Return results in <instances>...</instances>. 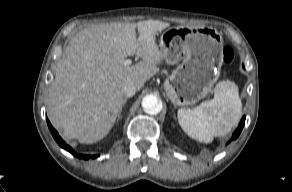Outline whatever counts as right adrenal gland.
<instances>
[{
    "label": "right adrenal gland",
    "mask_w": 292,
    "mask_h": 192,
    "mask_svg": "<svg viewBox=\"0 0 292 192\" xmlns=\"http://www.w3.org/2000/svg\"><path fill=\"white\" fill-rule=\"evenodd\" d=\"M127 102V99L124 100V103H123V106L125 105V103ZM121 112H122V109L120 110L119 114H118V119L117 121H119L121 119Z\"/></svg>",
    "instance_id": "2a0ac1e0"
}]
</instances>
